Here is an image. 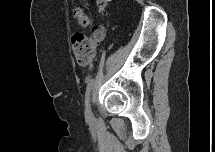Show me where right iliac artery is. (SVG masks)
Wrapping results in <instances>:
<instances>
[{
  "label": "right iliac artery",
  "mask_w": 215,
  "mask_h": 152,
  "mask_svg": "<svg viewBox=\"0 0 215 152\" xmlns=\"http://www.w3.org/2000/svg\"><path fill=\"white\" fill-rule=\"evenodd\" d=\"M93 82H94V80L91 79V80L89 81L88 85H87L86 93H85V104H86V102H87V100H88V98H89L90 92H91V90H92Z\"/></svg>",
  "instance_id": "82829eb1"
}]
</instances>
